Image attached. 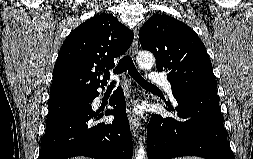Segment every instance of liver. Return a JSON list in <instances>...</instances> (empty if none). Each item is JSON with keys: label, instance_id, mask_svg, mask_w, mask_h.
Masks as SVG:
<instances>
[{"label": "liver", "instance_id": "obj_1", "mask_svg": "<svg viewBox=\"0 0 253 159\" xmlns=\"http://www.w3.org/2000/svg\"><path fill=\"white\" fill-rule=\"evenodd\" d=\"M71 159H90V158H86V157H75V158H71Z\"/></svg>", "mask_w": 253, "mask_h": 159}]
</instances>
